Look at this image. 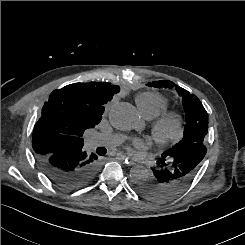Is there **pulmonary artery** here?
Returning <instances> with one entry per match:
<instances>
[{
	"mask_svg": "<svg viewBox=\"0 0 245 245\" xmlns=\"http://www.w3.org/2000/svg\"><path fill=\"white\" fill-rule=\"evenodd\" d=\"M123 141V136L119 134H93L88 139V144L91 147L103 146V147H114L119 145Z\"/></svg>",
	"mask_w": 245,
	"mask_h": 245,
	"instance_id": "1",
	"label": "pulmonary artery"
}]
</instances>
